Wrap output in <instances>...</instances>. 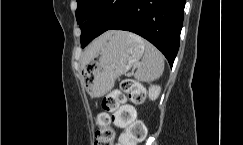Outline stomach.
<instances>
[{
  "mask_svg": "<svg viewBox=\"0 0 243 145\" xmlns=\"http://www.w3.org/2000/svg\"><path fill=\"white\" fill-rule=\"evenodd\" d=\"M144 46L141 38L124 31H112L87 61L83 76L92 97L108 93L115 80L130 70L142 57Z\"/></svg>",
  "mask_w": 243,
  "mask_h": 145,
  "instance_id": "obj_1",
  "label": "stomach"
}]
</instances>
